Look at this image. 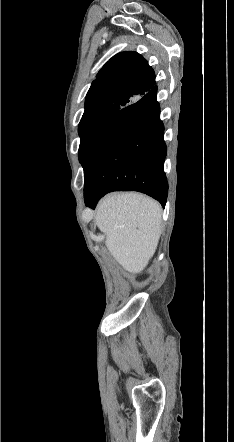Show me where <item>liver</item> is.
I'll return each instance as SVG.
<instances>
[{
  "label": "liver",
  "mask_w": 234,
  "mask_h": 442,
  "mask_svg": "<svg viewBox=\"0 0 234 442\" xmlns=\"http://www.w3.org/2000/svg\"><path fill=\"white\" fill-rule=\"evenodd\" d=\"M162 209L138 193L106 195L96 208L95 223L105 233V244L128 272L140 273L153 257L161 235Z\"/></svg>",
  "instance_id": "liver-1"
}]
</instances>
